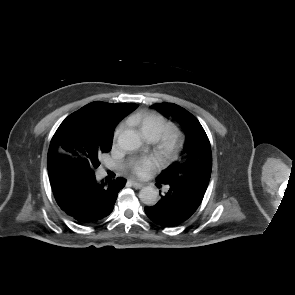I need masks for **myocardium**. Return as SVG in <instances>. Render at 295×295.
I'll return each mask as SVG.
<instances>
[{"label":"myocardium","mask_w":295,"mask_h":295,"mask_svg":"<svg viewBox=\"0 0 295 295\" xmlns=\"http://www.w3.org/2000/svg\"><path fill=\"white\" fill-rule=\"evenodd\" d=\"M185 145V135L174 125L167 126L157 138L156 150L164 162L179 158Z\"/></svg>","instance_id":"myocardium-1"}]
</instances>
